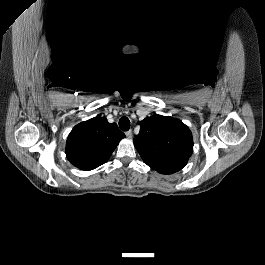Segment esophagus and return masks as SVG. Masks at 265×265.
Returning <instances> with one entry per match:
<instances>
[{"mask_svg":"<svg viewBox=\"0 0 265 265\" xmlns=\"http://www.w3.org/2000/svg\"><path fill=\"white\" fill-rule=\"evenodd\" d=\"M127 138L131 139L132 138V130H129L126 132Z\"/></svg>","mask_w":265,"mask_h":265,"instance_id":"34e87169","label":"esophagus"}]
</instances>
